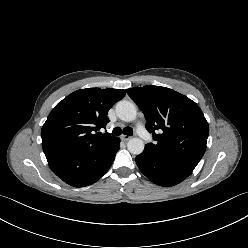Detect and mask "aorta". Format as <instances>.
I'll list each match as a JSON object with an SVG mask.
<instances>
[{
	"instance_id": "1",
	"label": "aorta",
	"mask_w": 248,
	"mask_h": 248,
	"mask_svg": "<svg viewBox=\"0 0 248 248\" xmlns=\"http://www.w3.org/2000/svg\"><path fill=\"white\" fill-rule=\"evenodd\" d=\"M116 114L122 121L132 122L137 117V109L133 102L122 100L116 105ZM144 142L140 138H132L128 141L127 148L130 153L139 155L144 150Z\"/></svg>"
}]
</instances>
